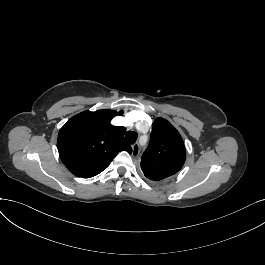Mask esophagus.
Instances as JSON below:
<instances>
[{"label": "esophagus", "instance_id": "obj_1", "mask_svg": "<svg viewBox=\"0 0 265 265\" xmlns=\"http://www.w3.org/2000/svg\"><path fill=\"white\" fill-rule=\"evenodd\" d=\"M139 152H140V150H139V143H134L133 145H132V156H134V157H136V156H138L139 155Z\"/></svg>", "mask_w": 265, "mask_h": 265}]
</instances>
